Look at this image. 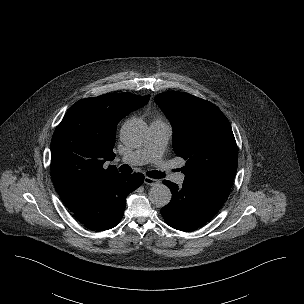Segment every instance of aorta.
<instances>
[{
    "label": "aorta",
    "mask_w": 304,
    "mask_h": 304,
    "mask_svg": "<svg viewBox=\"0 0 304 304\" xmlns=\"http://www.w3.org/2000/svg\"><path fill=\"white\" fill-rule=\"evenodd\" d=\"M148 128L146 124L139 119H131L124 123L121 128V139L127 146L138 147L142 145L147 138ZM172 194L170 189L157 183L149 191V200L157 207H164L171 201Z\"/></svg>",
    "instance_id": "762f6f07"
}]
</instances>
